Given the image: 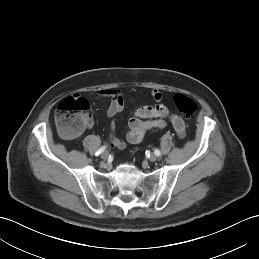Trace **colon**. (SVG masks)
Masks as SVG:
<instances>
[{"instance_id":"colon-1","label":"colon","mask_w":259,"mask_h":259,"mask_svg":"<svg viewBox=\"0 0 259 259\" xmlns=\"http://www.w3.org/2000/svg\"><path fill=\"white\" fill-rule=\"evenodd\" d=\"M174 104L186 118H192L197 110L196 102L184 94H176ZM90 120V105L84 98L78 96L62 100L55 112L56 127L68 139L77 137L88 126Z\"/></svg>"}]
</instances>
